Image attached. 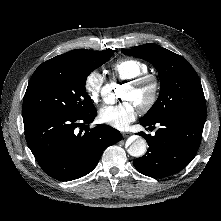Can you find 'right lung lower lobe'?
Masks as SVG:
<instances>
[{
	"label": "right lung lower lobe",
	"instance_id": "right-lung-lower-lobe-1",
	"mask_svg": "<svg viewBox=\"0 0 221 221\" xmlns=\"http://www.w3.org/2000/svg\"><path fill=\"white\" fill-rule=\"evenodd\" d=\"M96 114L95 110L81 117L23 116L27 144L49 176L61 181L85 176L95 168L103 151L121 140L120 132L111 126L89 128Z\"/></svg>",
	"mask_w": 221,
	"mask_h": 221
}]
</instances>
